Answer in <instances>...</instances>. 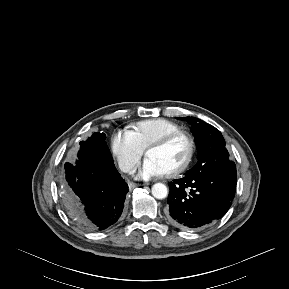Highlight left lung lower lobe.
<instances>
[{"label":"left lung lower lobe","mask_w":289,"mask_h":289,"mask_svg":"<svg viewBox=\"0 0 289 289\" xmlns=\"http://www.w3.org/2000/svg\"><path fill=\"white\" fill-rule=\"evenodd\" d=\"M237 179L229 171L185 174L169 183L167 218L179 228H202L221 219L235 196Z\"/></svg>","instance_id":"left-lung-lower-lobe-1"}]
</instances>
